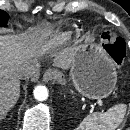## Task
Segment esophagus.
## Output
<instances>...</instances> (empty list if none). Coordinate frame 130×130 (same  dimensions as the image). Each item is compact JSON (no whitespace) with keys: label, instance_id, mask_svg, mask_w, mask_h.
<instances>
[{"label":"esophagus","instance_id":"1","mask_svg":"<svg viewBox=\"0 0 130 130\" xmlns=\"http://www.w3.org/2000/svg\"><path fill=\"white\" fill-rule=\"evenodd\" d=\"M57 76V73L55 70H48L45 75H44V81L48 82L50 80H52L54 77Z\"/></svg>","mask_w":130,"mask_h":130}]
</instances>
